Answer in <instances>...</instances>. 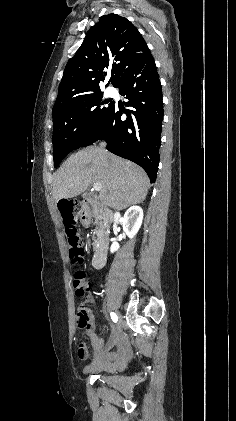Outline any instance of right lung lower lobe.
<instances>
[{"mask_svg": "<svg viewBox=\"0 0 236 421\" xmlns=\"http://www.w3.org/2000/svg\"><path fill=\"white\" fill-rule=\"evenodd\" d=\"M113 85L128 99L125 105L132 109L122 120L123 110L114 102L101 127L81 147L104 139L110 152L140 165L154 183L160 157L163 103L152 55L127 69Z\"/></svg>", "mask_w": 236, "mask_h": 421, "instance_id": "obj_1", "label": "right lung lower lobe"}]
</instances>
